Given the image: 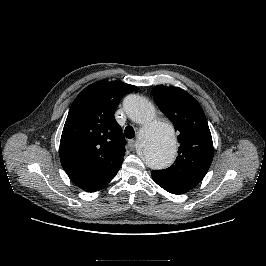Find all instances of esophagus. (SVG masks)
Segmentation results:
<instances>
[{
    "mask_svg": "<svg viewBox=\"0 0 266 266\" xmlns=\"http://www.w3.org/2000/svg\"><path fill=\"white\" fill-rule=\"evenodd\" d=\"M128 145H129V147H130L131 149H134V147H135V140H129V141H128Z\"/></svg>",
    "mask_w": 266,
    "mask_h": 266,
    "instance_id": "esophagus-1",
    "label": "esophagus"
}]
</instances>
